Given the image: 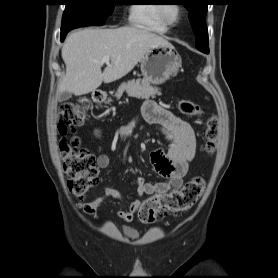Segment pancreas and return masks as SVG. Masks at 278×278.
Instances as JSON below:
<instances>
[{
	"mask_svg": "<svg viewBox=\"0 0 278 278\" xmlns=\"http://www.w3.org/2000/svg\"><path fill=\"white\" fill-rule=\"evenodd\" d=\"M124 92H126L128 96L131 97L148 99L150 97L154 98L156 95H159L160 89L151 86L150 83L145 79H139L122 83L115 93V97L120 98Z\"/></svg>",
	"mask_w": 278,
	"mask_h": 278,
	"instance_id": "1",
	"label": "pancreas"
}]
</instances>
